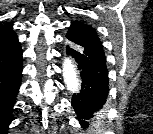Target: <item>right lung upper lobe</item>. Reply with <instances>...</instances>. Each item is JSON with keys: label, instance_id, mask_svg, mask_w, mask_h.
Returning <instances> with one entry per match:
<instances>
[{"label": "right lung upper lobe", "instance_id": "cb5924a9", "mask_svg": "<svg viewBox=\"0 0 153 134\" xmlns=\"http://www.w3.org/2000/svg\"><path fill=\"white\" fill-rule=\"evenodd\" d=\"M17 41V35L12 30V25L7 24L0 28V50L15 44Z\"/></svg>", "mask_w": 153, "mask_h": 134}]
</instances>
